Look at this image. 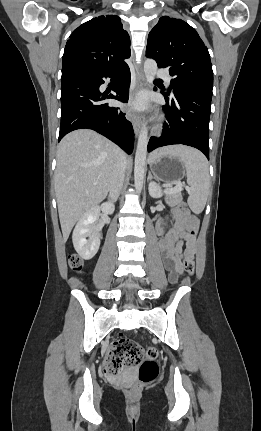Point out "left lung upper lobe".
I'll use <instances>...</instances> for the list:
<instances>
[{
	"label": "left lung upper lobe",
	"instance_id": "obj_1",
	"mask_svg": "<svg viewBox=\"0 0 261 431\" xmlns=\"http://www.w3.org/2000/svg\"><path fill=\"white\" fill-rule=\"evenodd\" d=\"M146 55L159 68H169L173 91L182 86L212 91L213 71L208 49L195 29L183 20L161 17L149 33Z\"/></svg>",
	"mask_w": 261,
	"mask_h": 431
}]
</instances>
